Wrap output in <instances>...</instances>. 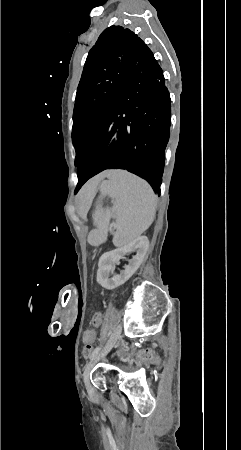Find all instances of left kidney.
I'll list each match as a JSON object with an SVG mask.
<instances>
[{
    "instance_id": "5707ae66",
    "label": "left kidney",
    "mask_w": 241,
    "mask_h": 450,
    "mask_svg": "<svg viewBox=\"0 0 241 450\" xmlns=\"http://www.w3.org/2000/svg\"><path fill=\"white\" fill-rule=\"evenodd\" d=\"M148 248L149 240L147 236H139V238H135L133 242H130L127 246H123V248H118V250H113V252L102 254L101 258H99L97 270L98 284H100L102 288H106V290H114V288L122 286V284L127 282V280L133 276L134 272L138 270L140 264H142L144 260V256H146ZM130 252H136V256H133L132 260H129V266H124L125 270L120 272L118 276L109 278L110 272H113L114 270V264L119 262L125 254H130Z\"/></svg>"
}]
</instances>
